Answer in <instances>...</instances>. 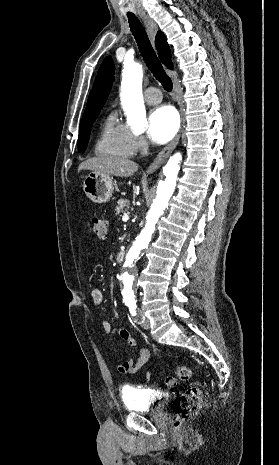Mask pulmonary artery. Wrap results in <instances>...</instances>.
Segmentation results:
<instances>
[{"mask_svg": "<svg viewBox=\"0 0 279 465\" xmlns=\"http://www.w3.org/2000/svg\"><path fill=\"white\" fill-rule=\"evenodd\" d=\"M144 99L149 104H157L162 100V95L157 88L149 87L144 93Z\"/></svg>", "mask_w": 279, "mask_h": 465, "instance_id": "e3ab8cb5", "label": "pulmonary artery"}]
</instances>
